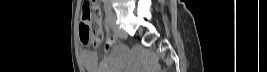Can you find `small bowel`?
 <instances>
[{
	"label": "small bowel",
	"instance_id": "c3829d8e",
	"mask_svg": "<svg viewBox=\"0 0 267 72\" xmlns=\"http://www.w3.org/2000/svg\"><path fill=\"white\" fill-rule=\"evenodd\" d=\"M116 43L115 36H109L104 45V50L107 51L111 49ZM82 58L86 69L89 72H109L111 65L114 63L115 59L113 56H107L103 59L101 66H98L97 55L94 51L86 49L82 53Z\"/></svg>",
	"mask_w": 267,
	"mask_h": 72
}]
</instances>
